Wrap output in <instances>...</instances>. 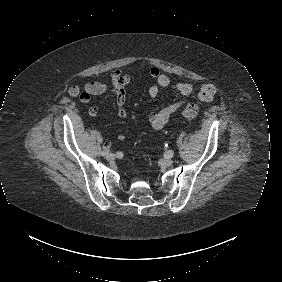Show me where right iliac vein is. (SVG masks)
Segmentation results:
<instances>
[{
  "label": "right iliac vein",
  "mask_w": 282,
  "mask_h": 282,
  "mask_svg": "<svg viewBox=\"0 0 282 282\" xmlns=\"http://www.w3.org/2000/svg\"><path fill=\"white\" fill-rule=\"evenodd\" d=\"M106 159L107 160H113L114 159V155L112 154V153H108V154H106Z\"/></svg>",
  "instance_id": "obj_1"
}]
</instances>
